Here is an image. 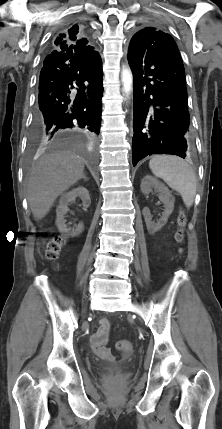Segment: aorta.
<instances>
[{"label": "aorta", "instance_id": "aorta-1", "mask_svg": "<svg viewBox=\"0 0 222 429\" xmlns=\"http://www.w3.org/2000/svg\"><path fill=\"white\" fill-rule=\"evenodd\" d=\"M121 78L123 82V90L126 94H129V92L131 91L132 82H133V78L130 70H128L127 68L123 69Z\"/></svg>", "mask_w": 222, "mask_h": 429}]
</instances>
